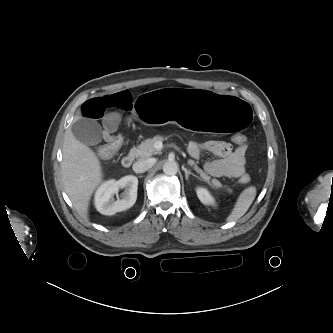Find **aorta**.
Returning a JSON list of instances; mask_svg holds the SVG:
<instances>
[{
	"label": "aorta",
	"mask_w": 333,
	"mask_h": 333,
	"mask_svg": "<svg viewBox=\"0 0 333 333\" xmlns=\"http://www.w3.org/2000/svg\"><path fill=\"white\" fill-rule=\"evenodd\" d=\"M163 172L166 175H175L178 172V166L173 161H168L163 166Z\"/></svg>",
	"instance_id": "762f6f07"
}]
</instances>
